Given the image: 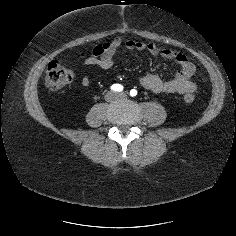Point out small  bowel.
Returning a JSON list of instances; mask_svg holds the SVG:
<instances>
[{
    "label": "small bowel",
    "instance_id": "1",
    "mask_svg": "<svg viewBox=\"0 0 236 236\" xmlns=\"http://www.w3.org/2000/svg\"><path fill=\"white\" fill-rule=\"evenodd\" d=\"M122 45L121 39H115L99 57H87L83 60V66L90 67L97 65L102 69H110L116 64V52ZM124 48L127 51L148 50L155 56H160L164 59L173 60L179 66L177 73L168 79H161L156 75H146L138 79L139 84L145 89L153 93L166 94H190L197 89V83L191 78L194 74V65L189 58L180 51L161 48L155 43H145L142 41L127 40L124 43ZM81 84L88 87L91 80L88 76H83Z\"/></svg>",
    "mask_w": 236,
    "mask_h": 236
}]
</instances>
